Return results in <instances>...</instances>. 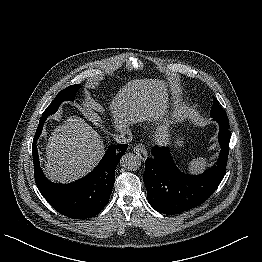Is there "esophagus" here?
<instances>
[{
    "instance_id": "1",
    "label": "esophagus",
    "mask_w": 262,
    "mask_h": 262,
    "mask_svg": "<svg viewBox=\"0 0 262 262\" xmlns=\"http://www.w3.org/2000/svg\"><path fill=\"white\" fill-rule=\"evenodd\" d=\"M134 152L139 156L142 161L147 159V149L143 144H138L134 147Z\"/></svg>"
}]
</instances>
